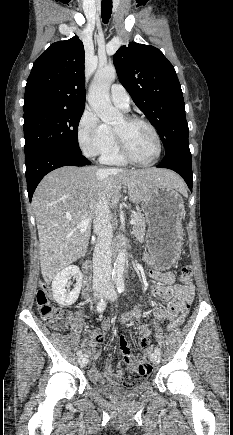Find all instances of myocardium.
<instances>
[{
    "mask_svg": "<svg viewBox=\"0 0 233 435\" xmlns=\"http://www.w3.org/2000/svg\"><path fill=\"white\" fill-rule=\"evenodd\" d=\"M124 120L128 124L136 123V122L142 123V124L146 125L151 130L153 137L155 139V143H156V155H155V158L149 162H141V161L137 160L128 150L121 133L118 130H116L115 128H113V134H114V137H115V140H116V143H117V146H118V149H119L121 156L128 163H131V164L136 165V166L149 167V166L156 164L161 156L162 145H161L160 136H159L158 131L155 128V126L149 120H147L143 117H140V116H134V115L133 116H126V117H124Z\"/></svg>",
    "mask_w": 233,
    "mask_h": 435,
    "instance_id": "obj_1",
    "label": "myocardium"
}]
</instances>
